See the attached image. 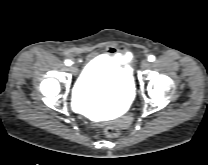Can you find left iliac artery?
Returning a JSON list of instances; mask_svg holds the SVG:
<instances>
[{
    "label": "left iliac artery",
    "mask_w": 208,
    "mask_h": 165,
    "mask_svg": "<svg viewBox=\"0 0 208 165\" xmlns=\"http://www.w3.org/2000/svg\"><path fill=\"white\" fill-rule=\"evenodd\" d=\"M148 60H149L150 62H153V61H155V56H153V55H150V56L148 57Z\"/></svg>",
    "instance_id": "left-iliac-artery-1"
}]
</instances>
